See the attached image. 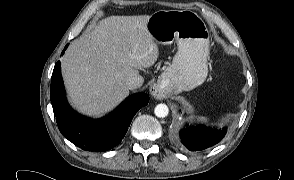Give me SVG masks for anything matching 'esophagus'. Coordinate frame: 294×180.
I'll use <instances>...</instances> for the list:
<instances>
[{
  "instance_id": "obj_1",
  "label": "esophagus",
  "mask_w": 294,
  "mask_h": 180,
  "mask_svg": "<svg viewBox=\"0 0 294 180\" xmlns=\"http://www.w3.org/2000/svg\"><path fill=\"white\" fill-rule=\"evenodd\" d=\"M151 96L156 100H162L164 98V90L159 84H152L149 88Z\"/></svg>"
}]
</instances>
